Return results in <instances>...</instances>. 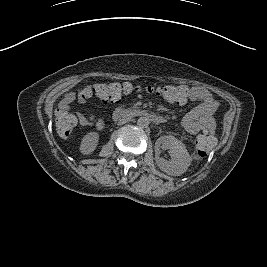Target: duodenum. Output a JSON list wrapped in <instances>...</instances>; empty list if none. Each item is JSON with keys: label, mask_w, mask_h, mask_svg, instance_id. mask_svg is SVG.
<instances>
[{"label": "duodenum", "mask_w": 267, "mask_h": 267, "mask_svg": "<svg viewBox=\"0 0 267 267\" xmlns=\"http://www.w3.org/2000/svg\"><path fill=\"white\" fill-rule=\"evenodd\" d=\"M120 118H147L154 124H161L164 122V118L160 115L150 113L143 109H122L118 108L113 113V119Z\"/></svg>", "instance_id": "obj_1"}]
</instances>
